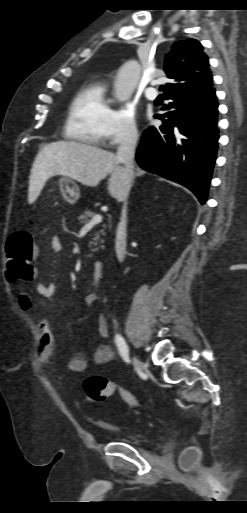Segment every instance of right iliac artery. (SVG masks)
Segmentation results:
<instances>
[{
	"label": "right iliac artery",
	"mask_w": 247,
	"mask_h": 513,
	"mask_svg": "<svg viewBox=\"0 0 247 513\" xmlns=\"http://www.w3.org/2000/svg\"><path fill=\"white\" fill-rule=\"evenodd\" d=\"M115 342H116V345L118 347V350H119V353L121 355V357L123 358V360L127 363H130L131 360L129 358V354H128V347L125 343V340L119 335V334H116L115 335Z\"/></svg>",
	"instance_id": "obj_1"
}]
</instances>
